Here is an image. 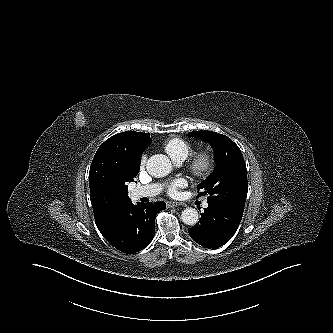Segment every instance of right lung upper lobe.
Wrapping results in <instances>:
<instances>
[{
	"label": "right lung upper lobe",
	"instance_id": "obj_1",
	"mask_svg": "<svg viewBox=\"0 0 333 333\" xmlns=\"http://www.w3.org/2000/svg\"><path fill=\"white\" fill-rule=\"evenodd\" d=\"M149 133L126 131L107 139L97 150L89 171L90 199L96 225L105 233L118 211L131 202L127 183L134 181Z\"/></svg>",
	"mask_w": 333,
	"mask_h": 333
}]
</instances>
